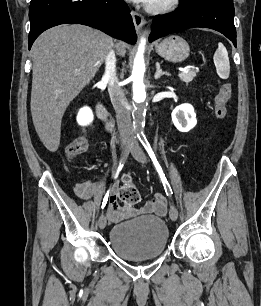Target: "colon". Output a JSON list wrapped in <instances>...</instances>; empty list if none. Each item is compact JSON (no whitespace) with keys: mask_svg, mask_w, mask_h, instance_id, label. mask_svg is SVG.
<instances>
[{"mask_svg":"<svg viewBox=\"0 0 261 306\" xmlns=\"http://www.w3.org/2000/svg\"><path fill=\"white\" fill-rule=\"evenodd\" d=\"M232 95V86L230 83H222L216 96L214 97V113L217 118L224 119L228 111L226 104ZM88 142L85 137H78L73 140L66 148L69 157H76L86 151ZM119 199L123 208L132 212L140 201V194L129 176L123 178V184L119 190Z\"/></svg>","mask_w":261,"mask_h":306,"instance_id":"colon-1","label":"colon"}]
</instances>
